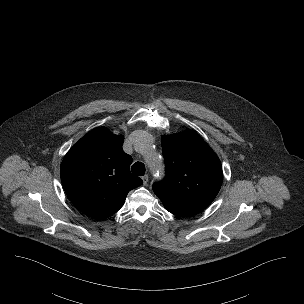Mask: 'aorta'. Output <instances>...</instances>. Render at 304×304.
<instances>
[{
  "label": "aorta",
  "mask_w": 304,
  "mask_h": 304,
  "mask_svg": "<svg viewBox=\"0 0 304 304\" xmlns=\"http://www.w3.org/2000/svg\"><path fill=\"white\" fill-rule=\"evenodd\" d=\"M141 145L143 149H147L149 147V144L146 142H142ZM155 158L157 161L156 164L149 163V166L154 172L158 173V175H161L163 163L158 155H155Z\"/></svg>",
  "instance_id": "1"
}]
</instances>
